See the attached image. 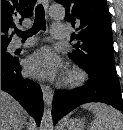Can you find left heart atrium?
Listing matches in <instances>:
<instances>
[{"mask_svg": "<svg viewBox=\"0 0 123 130\" xmlns=\"http://www.w3.org/2000/svg\"><path fill=\"white\" fill-rule=\"evenodd\" d=\"M58 56L48 47L33 53L26 62V69L32 76L39 78L53 77L60 69Z\"/></svg>", "mask_w": 123, "mask_h": 130, "instance_id": "obj_1", "label": "left heart atrium"}]
</instances>
